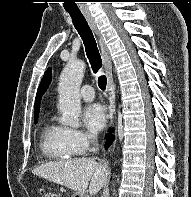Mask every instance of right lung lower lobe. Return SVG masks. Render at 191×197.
Listing matches in <instances>:
<instances>
[{
  "label": "right lung lower lobe",
  "mask_w": 191,
  "mask_h": 197,
  "mask_svg": "<svg viewBox=\"0 0 191 197\" xmlns=\"http://www.w3.org/2000/svg\"><path fill=\"white\" fill-rule=\"evenodd\" d=\"M112 140H113V136L111 134H108L107 135L106 147H108V145L111 144Z\"/></svg>",
  "instance_id": "1"
}]
</instances>
